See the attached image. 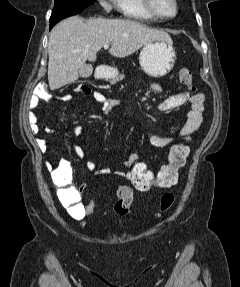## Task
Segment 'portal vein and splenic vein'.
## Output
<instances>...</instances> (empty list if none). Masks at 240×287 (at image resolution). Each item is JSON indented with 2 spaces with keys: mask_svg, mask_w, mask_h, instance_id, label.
<instances>
[{
  "mask_svg": "<svg viewBox=\"0 0 240 287\" xmlns=\"http://www.w3.org/2000/svg\"><path fill=\"white\" fill-rule=\"evenodd\" d=\"M109 46H110L109 44H105V45H104V49H108Z\"/></svg>",
  "mask_w": 240,
  "mask_h": 287,
  "instance_id": "obj_1",
  "label": "portal vein and splenic vein"
}]
</instances>
